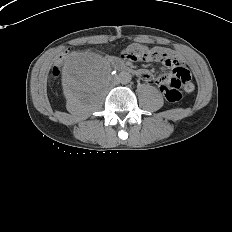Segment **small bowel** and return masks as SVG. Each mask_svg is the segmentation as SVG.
Returning <instances> with one entry per match:
<instances>
[{"mask_svg":"<svg viewBox=\"0 0 232 232\" xmlns=\"http://www.w3.org/2000/svg\"><path fill=\"white\" fill-rule=\"evenodd\" d=\"M139 48H144V47L136 46L134 49H139ZM155 50L158 51L161 54V57L160 58L148 57V58H146V61H154V60H159V59L163 60L166 66L171 67L173 69V72H174V68L176 66L182 67L181 58L179 57V55L177 54L176 51H174L172 49H169V48H164V47H159V48H156ZM139 74H140L141 79L145 83H147V84L155 83V84H157L159 86L160 90L162 91V87H163V84H164L163 78L160 77V78L155 79L146 70H141L139 72ZM184 88H185V91L191 92L194 89V85H193V83L191 81H189V82L186 83Z\"/></svg>","mask_w":232,"mask_h":232,"instance_id":"1","label":"small bowel"}]
</instances>
